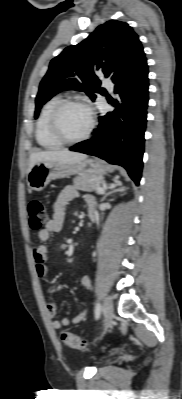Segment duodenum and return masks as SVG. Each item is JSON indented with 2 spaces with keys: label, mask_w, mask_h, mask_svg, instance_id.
I'll return each mask as SVG.
<instances>
[{
  "label": "duodenum",
  "mask_w": 182,
  "mask_h": 399,
  "mask_svg": "<svg viewBox=\"0 0 182 399\" xmlns=\"http://www.w3.org/2000/svg\"><path fill=\"white\" fill-rule=\"evenodd\" d=\"M88 217H89V220L91 222L95 221V219H96V210L95 209H89Z\"/></svg>",
  "instance_id": "duodenum-1"
}]
</instances>
